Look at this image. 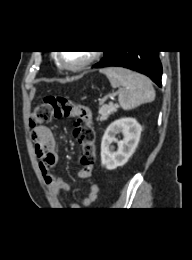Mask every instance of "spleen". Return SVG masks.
<instances>
[{
    "label": "spleen",
    "mask_w": 192,
    "mask_h": 260,
    "mask_svg": "<svg viewBox=\"0 0 192 260\" xmlns=\"http://www.w3.org/2000/svg\"><path fill=\"white\" fill-rule=\"evenodd\" d=\"M100 72L107 76L113 88L122 87L119 94L122 109L131 110L154 101L155 90L146 76L121 67H108Z\"/></svg>",
    "instance_id": "3e777b00"
}]
</instances>
